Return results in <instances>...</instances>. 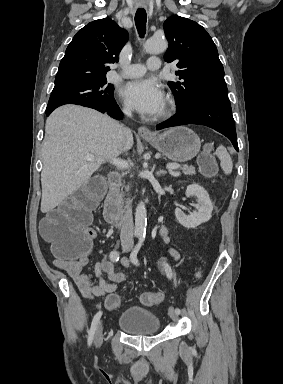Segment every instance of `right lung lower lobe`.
I'll return each mask as SVG.
<instances>
[{"label":"right lung lower lobe","mask_w":283,"mask_h":384,"mask_svg":"<svg viewBox=\"0 0 283 384\" xmlns=\"http://www.w3.org/2000/svg\"><path fill=\"white\" fill-rule=\"evenodd\" d=\"M80 105L96 109L102 113L108 114L115 119L122 118V112L114 99L105 102H89ZM55 109L56 108L53 107H47L46 115L49 116Z\"/></svg>","instance_id":"right-lung-lower-lobe-1"}]
</instances>
